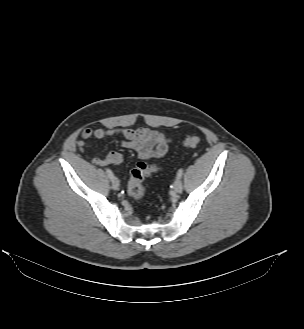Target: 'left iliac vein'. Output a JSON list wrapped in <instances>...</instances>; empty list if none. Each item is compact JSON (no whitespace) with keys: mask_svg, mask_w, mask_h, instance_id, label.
Here are the masks:
<instances>
[{"mask_svg":"<svg viewBox=\"0 0 304 329\" xmlns=\"http://www.w3.org/2000/svg\"><path fill=\"white\" fill-rule=\"evenodd\" d=\"M174 191L176 193H181L183 190V183L181 181V178L177 177L175 182H174Z\"/></svg>","mask_w":304,"mask_h":329,"instance_id":"left-iliac-vein-1","label":"left iliac vein"}]
</instances>
